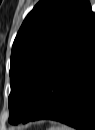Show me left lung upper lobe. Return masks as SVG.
<instances>
[{
	"label": "left lung upper lobe",
	"mask_w": 95,
	"mask_h": 130,
	"mask_svg": "<svg viewBox=\"0 0 95 130\" xmlns=\"http://www.w3.org/2000/svg\"><path fill=\"white\" fill-rule=\"evenodd\" d=\"M92 17L87 0H41L27 15L11 53L10 123L31 108L51 69Z\"/></svg>",
	"instance_id": "obj_1"
}]
</instances>
